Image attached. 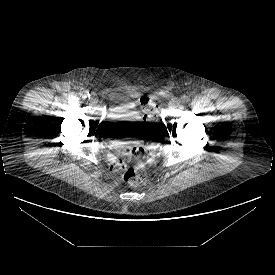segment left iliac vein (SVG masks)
Returning <instances> with one entry per match:
<instances>
[{
  "label": "left iliac vein",
  "instance_id": "obj_1",
  "mask_svg": "<svg viewBox=\"0 0 275 275\" xmlns=\"http://www.w3.org/2000/svg\"><path fill=\"white\" fill-rule=\"evenodd\" d=\"M180 101L178 98H172L169 102V108L170 109H175L179 106Z\"/></svg>",
  "mask_w": 275,
  "mask_h": 275
}]
</instances>
